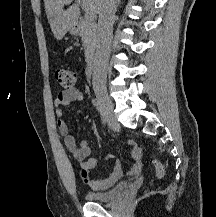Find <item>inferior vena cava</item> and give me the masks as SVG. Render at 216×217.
Instances as JSON below:
<instances>
[{
  "label": "inferior vena cava",
  "instance_id": "inferior-vena-cava-1",
  "mask_svg": "<svg viewBox=\"0 0 216 217\" xmlns=\"http://www.w3.org/2000/svg\"><path fill=\"white\" fill-rule=\"evenodd\" d=\"M117 0H103L98 19V41L94 60L92 84L94 88H105L108 59L112 43L114 16Z\"/></svg>",
  "mask_w": 216,
  "mask_h": 217
}]
</instances>
